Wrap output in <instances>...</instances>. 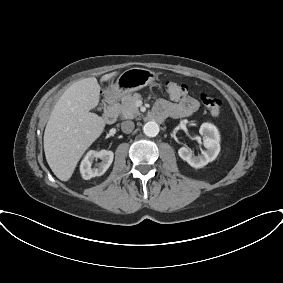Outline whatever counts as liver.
I'll use <instances>...</instances> for the list:
<instances>
[{
	"mask_svg": "<svg viewBox=\"0 0 283 283\" xmlns=\"http://www.w3.org/2000/svg\"><path fill=\"white\" fill-rule=\"evenodd\" d=\"M117 72L102 76L101 82ZM100 86L95 77L73 83L54 106L44 132L47 163L55 176L68 181L75 167L92 143L102 134L105 121L90 112L100 99Z\"/></svg>",
	"mask_w": 283,
	"mask_h": 283,
	"instance_id": "obj_1",
	"label": "liver"
}]
</instances>
